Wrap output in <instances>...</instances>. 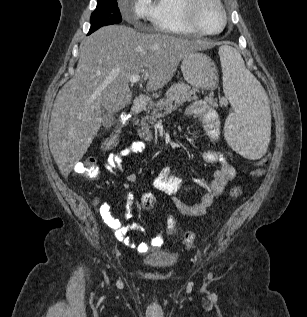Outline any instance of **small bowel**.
Returning <instances> with one entry per match:
<instances>
[{
	"label": "small bowel",
	"mask_w": 307,
	"mask_h": 317,
	"mask_svg": "<svg viewBox=\"0 0 307 317\" xmlns=\"http://www.w3.org/2000/svg\"><path fill=\"white\" fill-rule=\"evenodd\" d=\"M186 117L198 119L212 141L219 139L221 126L218 114L215 109L208 106L205 102H193L187 109ZM147 148L148 146L145 142L133 141L120 151L110 153L104 161V167L108 172L117 175L123 171V163L126 158L134 157L146 151ZM204 159L208 163L219 164V169L215 171L211 180L198 179L195 181L196 184L204 189L196 204H188L179 198L178 195L183 188L184 181L170 167H165L153 181V187L171 196L175 207L183 215L203 216L213 201L222 194L227 184L236 176L235 168L221 152L208 151L204 154ZM133 197V192L129 191L124 219L132 217L131 205ZM100 214L105 224L114 232L120 242L136 248L141 253L159 248L163 244V238L160 235L154 237L150 242L137 243L129 239L126 234L128 228L124 227L119 219L111 215L108 202L101 204Z\"/></svg>",
	"instance_id": "1"
}]
</instances>
